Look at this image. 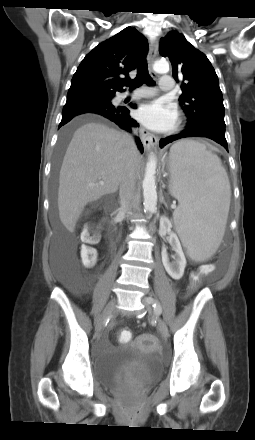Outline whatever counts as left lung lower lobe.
<instances>
[{"label":"left lung lower lobe","instance_id":"obj_1","mask_svg":"<svg viewBox=\"0 0 255 440\" xmlns=\"http://www.w3.org/2000/svg\"><path fill=\"white\" fill-rule=\"evenodd\" d=\"M186 137H206L222 145L228 151L225 138V126L216 123H203L197 126L188 125L180 134L166 137L160 140V147L163 148L168 143Z\"/></svg>","mask_w":255,"mask_h":440}]
</instances>
